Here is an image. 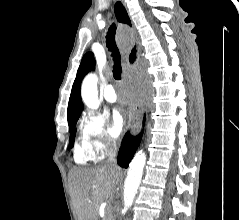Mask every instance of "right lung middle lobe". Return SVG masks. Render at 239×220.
Instances as JSON below:
<instances>
[{"instance_id":"obj_1","label":"right lung middle lobe","mask_w":239,"mask_h":220,"mask_svg":"<svg viewBox=\"0 0 239 220\" xmlns=\"http://www.w3.org/2000/svg\"><path fill=\"white\" fill-rule=\"evenodd\" d=\"M77 120H78V118L69 122V128H70V132H71L70 142H69L70 148H72L74 145V139H75V135H76L75 125H76Z\"/></svg>"}]
</instances>
